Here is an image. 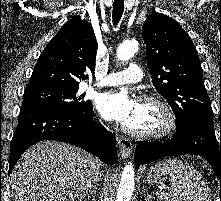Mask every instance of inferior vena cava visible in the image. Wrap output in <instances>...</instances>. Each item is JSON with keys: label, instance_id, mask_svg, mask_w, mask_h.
I'll list each match as a JSON object with an SVG mask.
<instances>
[{"label": "inferior vena cava", "instance_id": "1", "mask_svg": "<svg viewBox=\"0 0 221 201\" xmlns=\"http://www.w3.org/2000/svg\"><path fill=\"white\" fill-rule=\"evenodd\" d=\"M98 169H99V165L97 167V170L95 171V176H94V179H93V185L96 187V184L98 182Z\"/></svg>", "mask_w": 221, "mask_h": 201}]
</instances>
